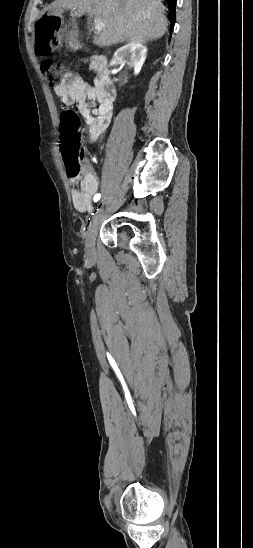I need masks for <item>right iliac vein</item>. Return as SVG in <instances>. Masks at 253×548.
I'll return each mask as SVG.
<instances>
[{
    "label": "right iliac vein",
    "mask_w": 253,
    "mask_h": 548,
    "mask_svg": "<svg viewBox=\"0 0 253 548\" xmlns=\"http://www.w3.org/2000/svg\"><path fill=\"white\" fill-rule=\"evenodd\" d=\"M103 212H104L103 210H99L92 218V221L88 227L86 241H85V251H86L87 257L91 260L94 259L96 255L95 239L101 223Z\"/></svg>",
    "instance_id": "63e3f726"
}]
</instances>
